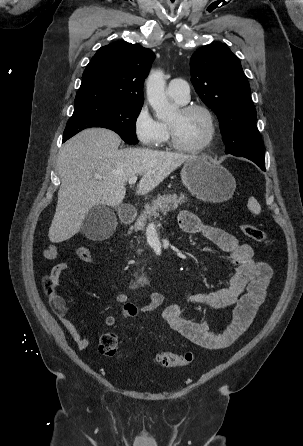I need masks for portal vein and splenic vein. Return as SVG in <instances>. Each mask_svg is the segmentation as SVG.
Masks as SVG:
<instances>
[{
    "mask_svg": "<svg viewBox=\"0 0 303 446\" xmlns=\"http://www.w3.org/2000/svg\"><path fill=\"white\" fill-rule=\"evenodd\" d=\"M136 181H137V176H133V177H131V178L128 180V183H129V184H135Z\"/></svg>",
    "mask_w": 303,
    "mask_h": 446,
    "instance_id": "obj_1",
    "label": "portal vein and splenic vein"
}]
</instances>
